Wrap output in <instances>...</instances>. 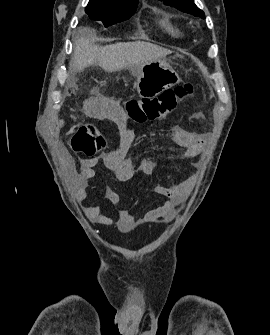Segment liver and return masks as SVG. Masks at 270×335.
<instances>
[{"label": "liver", "mask_w": 270, "mask_h": 335, "mask_svg": "<svg viewBox=\"0 0 270 335\" xmlns=\"http://www.w3.org/2000/svg\"><path fill=\"white\" fill-rule=\"evenodd\" d=\"M171 50L160 48L150 42H117L111 46H94L87 36H79L74 42V52L70 62L72 70H84L95 64L105 72H118L129 68L133 74L140 72L143 64L165 58Z\"/></svg>", "instance_id": "obj_1"}]
</instances>
